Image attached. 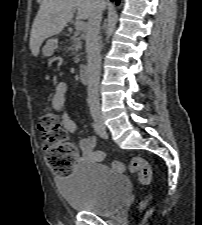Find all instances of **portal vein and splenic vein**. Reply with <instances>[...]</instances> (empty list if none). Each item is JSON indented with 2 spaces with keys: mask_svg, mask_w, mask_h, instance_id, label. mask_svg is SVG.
<instances>
[{
  "mask_svg": "<svg viewBox=\"0 0 202 225\" xmlns=\"http://www.w3.org/2000/svg\"><path fill=\"white\" fill-rule=\"evenodd\" d=\"M85 27H86V23H85L84 21H77V22L75 23V29H76L77 31H81V30H83Z\"/></svg>",
  "mask_w": 202,
  "mask_h": 225,
  "instance_id": "1",
  "label": "portal vein and splenic vein"
}]
</instances>
